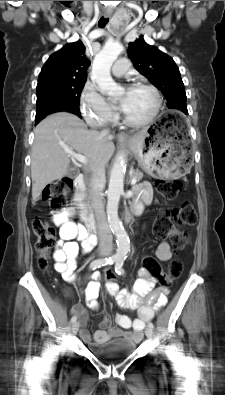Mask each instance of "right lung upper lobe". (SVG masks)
I'll return each instance as SVG.
<instances>
[{
	"instance_id": "obj_1",
	"label": "right lung upper lobe",
	"mask_w": 225,
	"mask_h": 395,
	"mask_svg": "<svg viewBox=\"0 0 225 395\" xmlns=\"http://www.w3.org/2000/svg\"><path fill=\"white\" fill-rule=\"evenodd\" d=\"M89 61L79 40L69 43L49 57L38 78V85L50 82L86 81Z\"/></svg>"
}]
</instances>
